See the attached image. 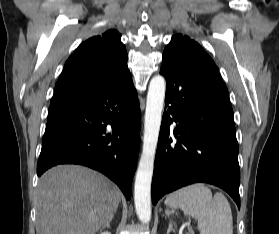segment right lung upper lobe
I'll return each mask as SVG.
<instances>
[{"label": "right lung upper lobe", "mask_w": 279, "mask_h": 234, "mask_svg": "<svg viewBox=\"0 0 279 234\" xmlns=\"http://www.w3.org/2000/svg\"><path fill=\"white\" fill-rule=\"evenodd\" d=\"M127 59L121 34L116 30L84 41L66 61L50 106L80 99L120 81L130 74Z\"/></svg>", "instance_id": "obj_1"}]
</instances>
